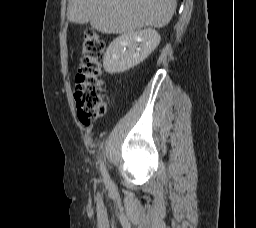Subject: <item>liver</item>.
Here are the masks:
<instances>
[{
  "label": "liver",
  "instance_id": "6515ba94",
  "mask_svg": "<svg viewBox=\"0 0 256 228\" xmlns=\"http://www.w3.org/2000/svg\"><path fill=\"white\" fill-rule=\"evenodd\" d=\"M176 6V0H70L67 16L104 34H125L166 26Z\"/></svg>",
  "mask_w": 256,
  "mask_h": 228
}]
</instances>
